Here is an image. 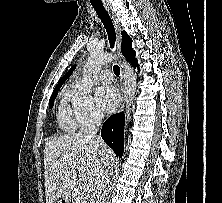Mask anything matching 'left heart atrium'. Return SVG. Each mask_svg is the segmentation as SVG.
<instances>
[{
    "label": "left heart atrium",
    "instance_id": "obj_1",
    "mask_svg": "<svg viewBox=\"0 0 222 203\" xmlns=\"http://www.w3.org/2000/svg\"><path fill=\"white\" fill-rule=\"evenodd\" d=\"M95 98L99 109L106 113L115 110L119 102V94L112 86H102L95 92Z\"/></svg>",
    "mask_w": 222,
    "mask_h": 203
}]
</instances>
